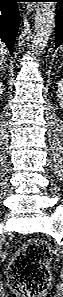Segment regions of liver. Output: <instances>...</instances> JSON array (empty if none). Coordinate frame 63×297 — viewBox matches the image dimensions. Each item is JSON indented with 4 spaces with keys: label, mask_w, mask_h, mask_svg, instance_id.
Here are the masks:
<instances>
[{
    "label": "liver",
    "mask_w": 63,
    "mask_h": 297,
    "mask_svg": "<svg viewBox=\"0 0 63 297\" xmlns=\"http://www.w3.org/2000/svg\"><path fill=\"white\" fill-rule=\"evenodd\" d=\"M7 54L6 46L1 42L0 43V65L2 66L5 62V57Z\"/></svg>",
    "instance_id": "obj_1"
}]
</instances>
